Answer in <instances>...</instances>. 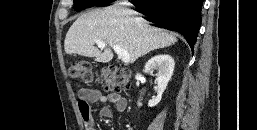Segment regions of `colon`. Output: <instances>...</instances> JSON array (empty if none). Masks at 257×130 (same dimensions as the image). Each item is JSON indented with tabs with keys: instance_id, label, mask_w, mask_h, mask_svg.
I'll list each match as a JSON object with an SVG mask.
<instances>
[{
	"instance_id": "5ec220e1",
	"label": "colon",
	"mask_w": 257,
	"mask_h": 130,
	"mask_svg": "<svg viewBox=\"0 0 257 130\" xmlns=\"http://www.w3.org/2000/svg\"><path fill=\"white\" fill-rule=\"evenodd\" d=\"M69 73L72 78L82 83H88L93 78L90 64L83 61L73 63L70 66ZM102 80L106 90L124 92L130 84V73L128 70L109 66L103 70Z\"/></svg>"
}]
</instances>
